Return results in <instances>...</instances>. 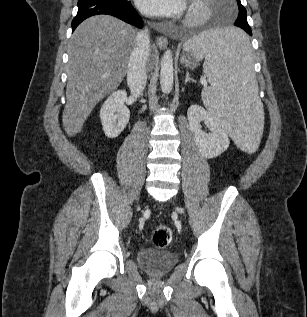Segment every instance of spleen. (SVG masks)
<instances>
[{
  "mask_svg": "<svg viewBox=\"0 0 307 317\" xmlns=\"http://www.w3.org/2000/svg\"><path fill=\"white\" fill-rule=\"evenodd\" d=\"M183 47L198 60L205 58L203 71L210 87L201 96L210 115L228 131L243 155H256V148H263L259 139L263 109L246 29L214 26Z\"/></svg>",
  "mask_w": 307,
  "mask_h": 317,
  "instance_id": "3e777b00",
  "label": "spleen"
}]
</instances>
